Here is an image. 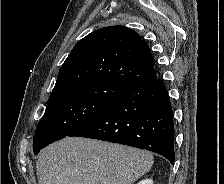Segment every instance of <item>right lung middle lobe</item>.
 <instances>
[{"mask_svg": "<svg viewBox=\"0 0 224 184\" xmlns=\"http://www.w3.org/2000/svg\"><path fill=\"white\" fill-rule=\"evenodd\" d=\"M128 88L124 84L94 80L73 85L50 96L33 137L34 154L92 121Z\"/></svg>", "mask_w": 224, "mask_h": 184, "instance_id": "1", "label": "right lung middle lobe"}]
</instances>
